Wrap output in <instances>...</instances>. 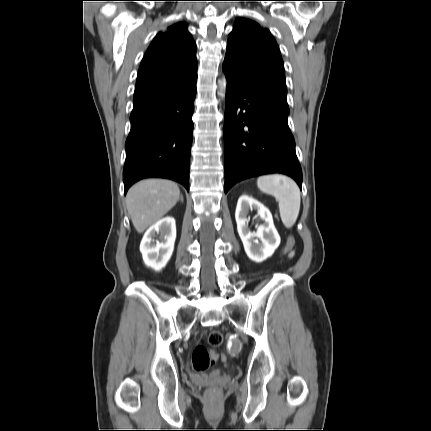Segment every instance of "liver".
Masks as SVG:
<instances>
[{
    "label": "liver",
    "mask_w": 431,
    "mask_h": 431,
    "mask_svg": "<svg viewBox=\"0 0 431 431\" xmlns=\"http://www.w3.org/2000/svg\"><path fill=\"white\" fill-rule=\"evenodd\" d=\"M177 184L164 179H146L133 185L126 196V206L138 233L158 222L177 203Z\"/></svg>",
    "instance_id": "liver-1"
}]
</instances>
